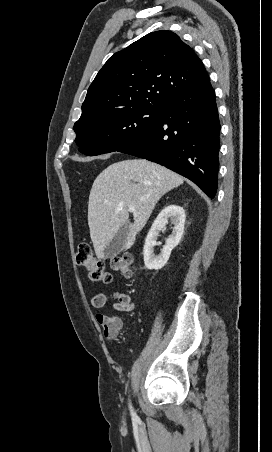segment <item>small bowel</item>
<instances>
[{
  "label": "small bowel",
  "instance_id": "c3829d8e",
  "mask_svg": "<svg viewBox=\"0 0 272 452\" xmlns=\"http://www.w3.org/2000/svg\"><path fill=\"white\" fill-rule=\"evenodd\" d=\"M112 299V308L119 312L129 313L135 309V303L131 296L127 293L115 292L112 295L106 293H98L93 296L91 304L93 308L99 309L106 305L109 299ZM96 322L102 326L105 337L113 341L118 337L122 328V318L119 316H108L105 314H97Z\"/></svg>",
  "mask_w": 272,
  "mask_h": 452
}]
</instances>
